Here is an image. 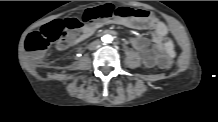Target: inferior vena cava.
<instances>
[{
	"label": "inferior vena cava",
	"mask_w": 218,
	"mask_h": 122,
	"mask_svg": "<svg viewBox=\"0 0 218 122\" xmlns=\"http://www.w3.org/2000/svg\"><path fill=\"white\" fill-rule=\"evenodd\" d=\"M100 47V42H98V41H95V42H93V43H91V45H90V49H97V48H99Z\"/></svg>",
	"instance_id": "obj_1"
}]
</instances>
